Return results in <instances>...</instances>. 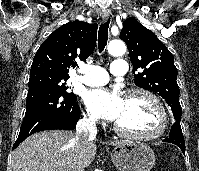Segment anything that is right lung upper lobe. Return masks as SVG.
I'll return each mask as SVG.
<instances>
[{"label":"right lung upper lobe","instance_id":"cb5924a9","mask_svg":"<svg viewBox=\"0 0 199 171\" xmlns=\"http://www.w3.org/2000/svg\"><path fill=\"white\" fill-rule=\"evenodd\" d=\"M97 24L69 22L55 30L40 46L31 66L30 76L48 74L68 77L76 60L85 61L94 51Z\"/></svg>","mask_w":199,"mask_h":171}]
</instances>
